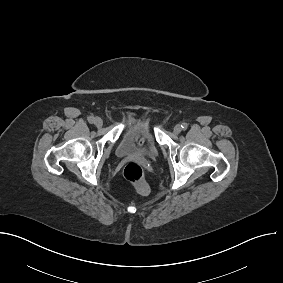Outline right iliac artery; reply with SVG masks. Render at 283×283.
<instances>
[{
	"label": "right iliac artery",
	"instance_id": "right-iliac-artery-1",
	"mask_svg": "<svg viewBox=\"0 0 283 283\" xmlns=\"http://www.w3.org/2000/svg\"><path fill=\"white\" fill-rule=\"evenodd\" d=\"M94 119H95V118H94L93 116H89V117H88L89 123H93V122H94Z\"/></svg>",
	"mask_w": 283,
	"mask_h": 283
}]
</instances>
